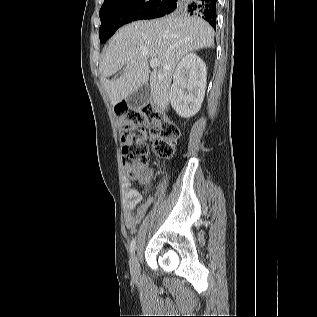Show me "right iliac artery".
<instances>
[{"mask_svg":"<svg viewBox=\"0 0 317 317\" xmlns=\"http://www.w3.org/2000/svg\"><path fill=\"white\" fill-rule=\"evenodd\" d=\"M135 248H136V240L133 239V240L131 241V243H130V252H131V254L134 253Z\"/></svg>","mask_w":317,"mask_h":317,"instance_id":"1","label":"right iliac artery"}]
</instances>
